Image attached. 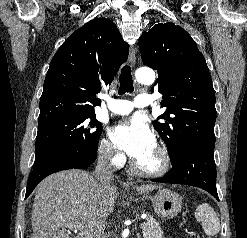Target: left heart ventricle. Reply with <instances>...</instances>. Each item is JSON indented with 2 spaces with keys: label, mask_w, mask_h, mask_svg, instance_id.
Returning <instances> with one entry per match:
<instances>
[{
  "label": "left heart ventricle",
  "mask_w": 247,
  "mask_h": 238,
  "mask_svg": "<svg viewBox=\"0 0 247 238\" xmlns=\"http://www.w3.org/2000/svg\"><path fill=\"white\" fill-rule=\"evenodd\" d=\"M136 162L145 169H155L159 165V157L155 150V147L144 154L141 158L137 159Z\"/></svg>",
  "instance_id": "1"
}]
</instances>
